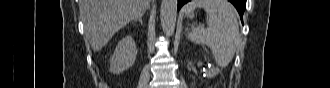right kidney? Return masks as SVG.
<instances>
[{
  "instance_id": "1",
  "label": "right kidney",
  "mask_w": 330,
  "mask_h": 88,
  "mask_svg": "<svg viewBox=\"0 0 330 88\" xmlns=\"http://www.w3.org/2000/svg\"><path fill=\"white\" fill-rule=\"evenodd\" d=\"M136 55L137 48L134 39L131 36L124 37L110 57V71L119 74L129 69L134 64Z\"/></svg>"
}]
</instances>
